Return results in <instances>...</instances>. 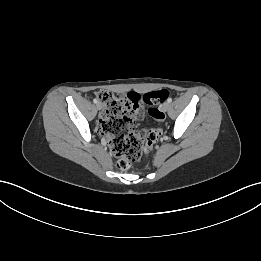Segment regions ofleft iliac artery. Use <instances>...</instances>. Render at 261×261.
I'll list each match as a JSON object with an SVG mask.
<instances>
[{"instance_id": "44dca946", "label": "left iliac artery", "mask_w": 261, "mask_h": 261, "mask_svg": "<svg viewBox=\"0 0 261 261\" xmlns=\"http://www.w3.org/2000/svg\"><path fill=\"white\" fill-rule=\"evenodd\" d=\"M167 102H168V103H171V102H172V98H168V99H167Z\"/></svg>"}]
</instances>
